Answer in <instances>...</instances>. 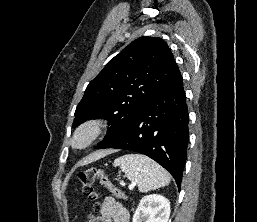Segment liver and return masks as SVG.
I'll return each mask as SVG.
<instances>
[{"label":"liver","instance_id":"1","mask_svg":"<svg viewBox=\"0 0 257 222\" xmlns=\"http://www.w3.org/2000/svg\"><path fill=\"white\" fill-rule=\"evenodd\" d=\"M110 153V151H105V152H99V153H95L89 157H87L83 162H81V165H84V164H87V163H90L106 154Z\"/></svg>","mask_w":257,"mask_h":222}]
</instances>
